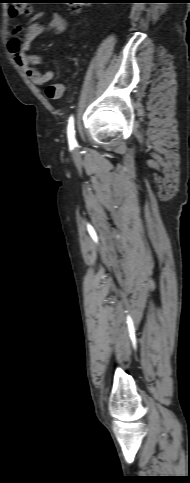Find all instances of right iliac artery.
<instances>
[{"label": "right iliac artery", "mask_w": 190, "mask_h": 483, "mask_svg": "<svg viewBox=\"0 0 190 483\" xmlns=\"http://www.w3.org/2000/svg\"><path fill=\"white\" fill-rule=\"evenodd\" d=\"M67 134H68V141H69V145L71 147L75 146L76 145V140H75V131H74V119H73V116H71L69 118V124H68V131H67Z\"/></svg>", "instance_id": "1"}]
</instances>
